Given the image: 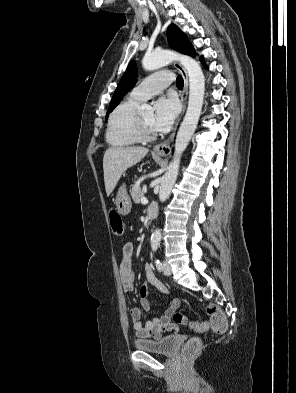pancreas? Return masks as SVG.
Wrapping results in <instances>:
<instances>
[{
	"mask_svg": "<svg viewBox=\"0 0 296 393\" xmlns=\"http://www.w3.org/2000/svg\"><path fill=\"white\" fill-rule=\"evenodd\" d=\"M131 196L135 204H138L140 202L141 198L143 197V192L139 185L135 184L132 187Z\"/></svg>",
	"mask_w": 296,
	"mask_h": 393,
	"instance_id": "1",
	"label": "pancreas"
}]
</instances>
